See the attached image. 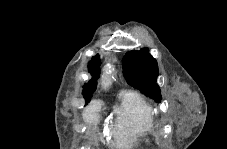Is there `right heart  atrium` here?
<instances>
[{
  "instance_id": "obj_1",
  "label": "right heart atrium",
  "mask_w": 227,
  "mask_h": 149,
  "mask_svg": "<svg viewBox=\"0 0 227 149\" xmlns=\"http://www.w3.org/2000/svg\"><path fill=\"white\" fill-rule=\"evenodd\" d=\"M85 119L89 124H94L97 120V106L93 105L87 109Z\"/></svg>"
}]
</instances>
